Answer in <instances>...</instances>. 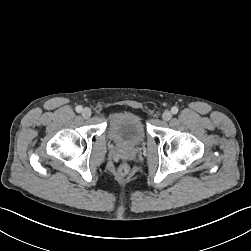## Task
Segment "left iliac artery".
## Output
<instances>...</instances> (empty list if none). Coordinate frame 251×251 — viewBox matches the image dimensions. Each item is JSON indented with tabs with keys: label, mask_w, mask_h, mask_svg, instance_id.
I'll list each match as a JSON object with an SVG mask.
<instances>
[{
	"label": "left iliac artery",
	"mask_w": 251,
	"mask_h": 251,
	"mask_svg": "<svg viewBox=\"0 0 251 251\" xmlns=\"http://www.w3.org/2000/svg\"><path fill=\"white\" fill-rule=\"evenodd\" d=\"M171 111L173 114H177L178 113V108L176 106L171 108Z\"/></svg>",
	"instance_id": "obj_1"
}]
</instances>
